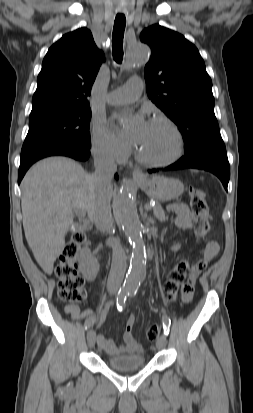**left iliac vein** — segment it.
Wrapping results in <instances>:
<instances>
[{
    "mask_svg": "<svg viewBox=\"0 0 253 413\" xmlns=\"http://www.w3.org/2000/svg\"><path fill=\"white\" fill-rule=\"evenodd\" d=\"M166 346V339L164 335H161L156 341V348L158 350L163 349Z\"/></svg>",
    "mask_w": 253,
    "mask_h": 413,
    "instance_id": "1",
    "label": "left iliac vein"
}]
</instances>
